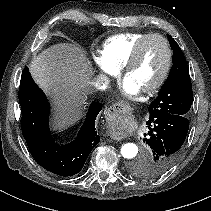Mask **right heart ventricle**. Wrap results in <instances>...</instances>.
Masks as SVG:
<instances>
[{"label":"right heart ventricle","mask_w":211,"mask_h":211,"mask_svg":"<svg viewBox=\"0 0 211 211\" xmlns=\"http://www.w3.org/2000/svg\"><path fill=\"white\" fill-rule=\"evenodd\" d=\"M146 34L148 33L128 32L109 37L101 49L102 58L109 66L122 69L136 43Z\"/></svg>","instance_id":"right-heart-ventricle-1"}]
</instances>
